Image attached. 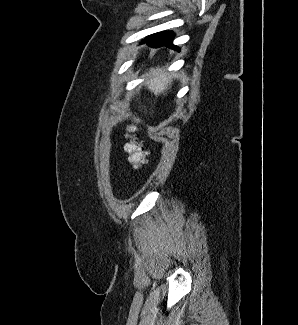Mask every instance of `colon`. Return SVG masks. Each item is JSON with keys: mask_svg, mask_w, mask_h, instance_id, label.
I'll list each match as a JSON object with an SVG mask.
<instances>
[{"mask_svg": "<svg viewBox=\"0 0 298 325\" xmlns=\"http://www.w3.org/2000/svg\"><path fill=\"white\" fill-rule=\"evenodd\" d=\"M126 137L124 152L127 154V160L133 169L139 170L146 164L147 153L144 150L143 143L138 141L135 125L127 127Z\"/></svg>", "mask_w": 298, "mask_h": 325, "instance_id": "colon-1", "label": "colon"}]
</instances>
